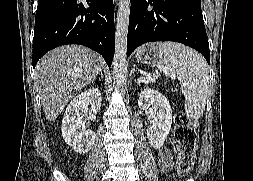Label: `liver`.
<instances>
[{
    "mask_svg": "<svg viewBox=\"0 0 253 181\" xmlns=\"http://www.w3.org/2000/svg\"><path fill=\"white\" fill-rule=\"evenodd\" d=\"M102 57L80 45L48 52L36 65L35 84L48 121H54L71 98L92 83L102 69Z\"/></svg>",
    "mask_w": 253,
    "mask_h": 181,
    "instance_id": "obj_1",
    "label": "liver"
}]
</instances>
